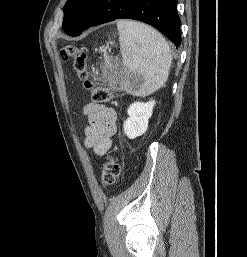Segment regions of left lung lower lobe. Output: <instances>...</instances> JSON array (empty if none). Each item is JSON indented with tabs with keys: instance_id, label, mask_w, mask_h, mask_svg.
I'll list each match as a JSON object with an SVG mask.
<instances>
[{
	"instance_id": "obj_1",
	"label": "left lung lower lobe",
	"mask_w": 247,
	"mask_h": 257,
	"mask_svg": "<svg viewBox=\"0 0 247 257\" xmlns=\"http://www.w3.org/2000/svg\"><path fill=\"white\" fill-rule=\"evenodd\" d=\"M176 6L177 0H98L80 28L70 36H79L92 26L126 18L155 27L178 47L181 36Z\"/></svg>"
}]
</instances>
